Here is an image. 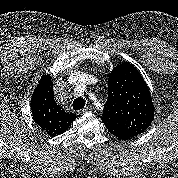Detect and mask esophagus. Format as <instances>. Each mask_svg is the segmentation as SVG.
<instances>
[{"mask_svg":"<svg viewBox=\"0 0 178 178\" xmlns=\"http://www.w3.org/2000/svg\"><path fill=\"white\" fill-rule=\"evenodd\" d=\"M90 110H91L90 107H86V108H84V109L78 110V111H77V114H78V115H82V114L87 113V112L90 111Z\"/></svg>","mask_w":178,"mask_h":178,"instance_id":"obj_1","label":"esophagus"}]
</instances>
